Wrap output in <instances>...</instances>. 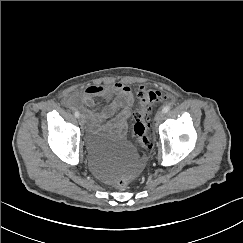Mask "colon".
<instances>
[{"instance_id":"1","label":"colon","mask_w":243,"mask_h":243,"mask_svg":"<svg viewBox=\"0 0 243 243\" xmlns=\"http://www.w3.org/2000/svg\"><path fill=\"white\" fill-rule=\"evenodd\" d=\"M138 106L132 108L133 135L137 144L145 154H151L154 146L151 144V124L149 122L152 107L166 99L160 91L149 89L145 83L136 85ZM130 183L126 176L119 177L114 186L116 189H125Z\"/></svg>"}]
</instances>
